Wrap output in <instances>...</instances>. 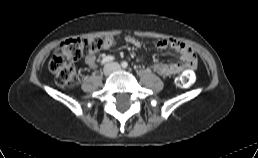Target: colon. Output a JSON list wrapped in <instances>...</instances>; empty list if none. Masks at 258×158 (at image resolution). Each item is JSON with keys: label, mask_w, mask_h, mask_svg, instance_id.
<instances>
[{"label": "colon", "mask_w": 258, "mask_h": 158, "mask_svg": "<svg viewBox=\"0 0 258 158\" xmlns=\"http://www.w3.org/2000/svg\"><path fill=\"white\" fill-rule=\"evenodd\" d=\"M105 47V39L101 37H73L65 39L51 58L49 69L56 82L61 86H72L79 79L75 62L83 55H91ZM194 79L192 71H186L177 80L180 87H186Z\"/></svg>", "instance_id": "colon-1"}]
</instances>
